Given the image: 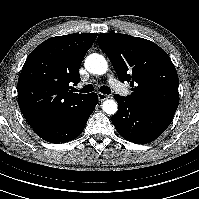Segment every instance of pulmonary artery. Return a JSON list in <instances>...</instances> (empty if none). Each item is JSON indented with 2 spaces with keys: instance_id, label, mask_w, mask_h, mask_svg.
Masks as SVG:
<instances>
[{
  "instance_id": "e3ab8cb5",
  "label": "pulmonary artery",
  "mask_w": 199,
  "mask_h": 199,
  "mask_svg": "<svg viewBox=\"0 0 199 199\" xmlns=\"http://www.w3.org/2000/svg\"><path fill=\"white\" fill-rule=\"evenodd\" d=\"M109 81L111 83V85L113 86V88L121 95L123 96H127L129 94V92L124 88L123 85H121L120 83L116 82L112 77H109Z\"/></svg>"
}]
</instances>
